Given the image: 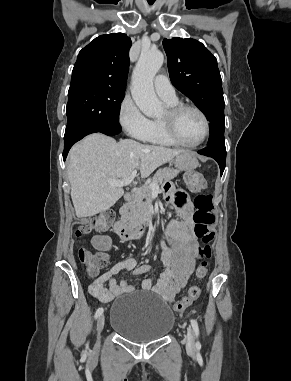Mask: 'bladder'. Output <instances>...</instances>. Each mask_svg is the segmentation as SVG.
<instances>
[{
    "instance_id": "1",
    "label": "bladder",
    "mask_w": 291,
    "mask_h": 381,
    "mask_svg": "<svg viewBox=\"0 0 291 381\" xmlns=\"http://www.w3.org/2000/svg\"><path fill=\"white\" fill-rule=\"evenodd\" d=\"M174 321L173 311L164 300L137 292L119 297L110 309V328L134 342L164 338Z\"/></svg>"
}]
</instances>
